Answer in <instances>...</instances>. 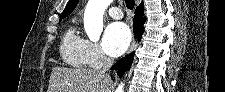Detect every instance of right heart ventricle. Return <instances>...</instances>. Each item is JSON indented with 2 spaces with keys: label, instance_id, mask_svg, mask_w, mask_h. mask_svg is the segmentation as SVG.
I'll return each mask as SVG.
<instances>
[{
  "label": "right heart ventricle",
  "instance_id": "1",
  "mask_svg": "<svg viewBox=\"0 0 225 92\" xmlns=\"http://www.w3.org/2000/svg\"><path fill=\"white\" fill-rule=\"evenodd\" d=\"M86 40L80 37L74 26H70L63 35L60 53L65 63L73 67L85 65Z\"/></svg>",
  "mask_w": 225,
  "mask_h": 92
}]
</instances>
